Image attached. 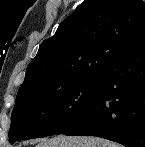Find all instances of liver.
I'll list each match as a JSON object with an SVG mask.
<instances>
[{"mask_svg": "<svg viewBox=\"0 0 145 147\" xmlns=\"http://www.w3.org/2000/svg\"><path fill=\"white\" fill-rule=\"evenodd\" d=\"M36 147H121V145L99 137L59 135L42 141Z\"/></svg>", "mask_w": 145, "mask_h": 147, "instance_id": "liver-1", "label": "liver"}]
</instances>
